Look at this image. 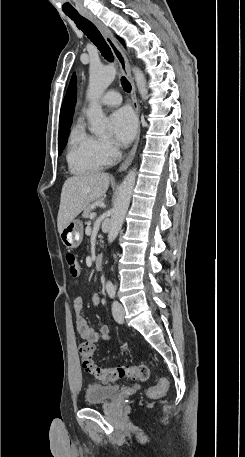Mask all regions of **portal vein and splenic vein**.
<instances>
[{
    "label": "portal vein and splenic vein",
    "instance_id": "1",
    "mask_svg": "<svg viewBox=\"0 0 245 457\" xmlns=\"http://www.w3.org/2000/svg\"><path fill=\"white\" fill-rule=\"evenodd\" d=\"M94 216H96V212H92V214H90V218H94Z\"/></svg>",
    "mask_w": 245,
    "mask_h": 457
}]
</instances>
